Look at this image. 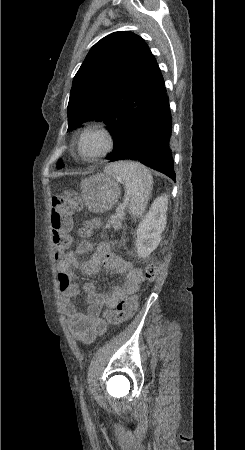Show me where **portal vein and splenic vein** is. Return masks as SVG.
<instances>
[{
	"label": "portal vein and splenic vein",
	"instance_id": "portal-vein-and-splenic-vein-1",
	"mask_svg": "<svg viewBox=\"0 0 245 450\" xmlns=\"http://www.w3.org/2000/svg\"><path fill=\"white\" fill-rule=\"evenodd\" d=\"M127 204H128V199H126L121 205L118 206V208L116 209V213L122 212L125 209Z\"/></svg>",
	"mask_w": 245,
	"mask_h": 450
}]
</instances>
